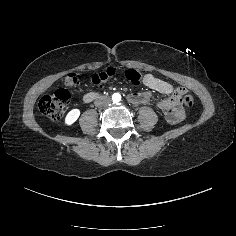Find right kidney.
Returning a JSON list of instances; mask_svg holds the SVG:
<instances>
[{
	"instance_id": "ca27d5eb",
	"label": "right kidney",
	"mask_w": 236,
	"mask_h": 236,
	"mask_svg": "<svg viewBox=\"0 0 236 236\" xmlns=\"http://www.w3.org/2000/svg\"><path fill=\"white\" fill-rule=\"evenodd\" d=\"M79 116H80V110L73 109L67 114L65 118V123L67 125H72L78 119Z\"/></svg>"
}]
</instances>
